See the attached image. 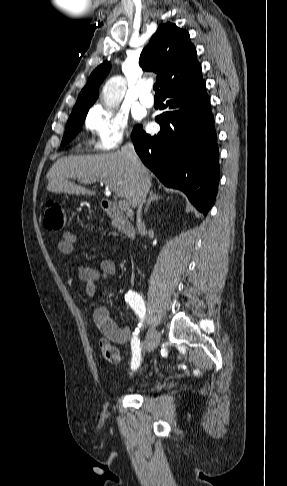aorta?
Wrapping results in <instances>:
<instances>
[{
    "label": "aorta",
    "instance_id": "aorta-1",
    "mask_svg": "<svg viewBox=\"0 0 287 486\" xmlns=\"http://www.w3.org/2000/svg\"><path fill=\"white\" fill-rule=\"evenodd\" d=\"M126 91L125 81L120 77L110 79L103 89V99L106 107L114 108L123 99Z\"/></svg>",
    "mask_w": 287,
    "mask_h": 486
}]
</instances>
